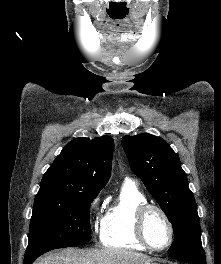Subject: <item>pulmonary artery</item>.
Returning a JSON list of instances; mask_svg holds the SVG:
<instances>
[{
    "instance_id": "1",
    "label": "pulmonary artery",
    "mask_w": 221,
    "mask_h": 264,
    "mask_svg": "<svg viewBox=\"0 0 221 264\" xmlns=\"http://www.w3.org/2000/svg\"><path fill=\"white\" fill-rule=\"evenodd\" d=\"M126 180H127V181H131V179H130V178H126Z\"/></svg>"
}]
</instances>
